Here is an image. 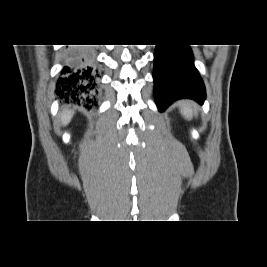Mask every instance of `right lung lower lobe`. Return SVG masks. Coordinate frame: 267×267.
I'll list each match as a JSON object with an SVG mask.
<instances>
[{
    "mask_svg": "<svg viewBox=\"0 0 267 267\" xmlns=\"http://www.w3.org/2000/svg\"><path fill=\"white\" fill-rule=\"evenodd\" d=\"M92 63L90 50H68L67 65L63 67L56 84V94L62 100L77 104L93 103V92L97 84Z\"/></svg>",
    "mask_w": 267,
    "mask_h": 267,
    "instance_id": "right-lung-lower-lobe-1",
    "label": "right lung lower lobe"
}]
</instances>
